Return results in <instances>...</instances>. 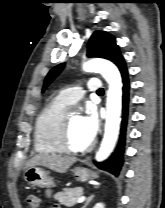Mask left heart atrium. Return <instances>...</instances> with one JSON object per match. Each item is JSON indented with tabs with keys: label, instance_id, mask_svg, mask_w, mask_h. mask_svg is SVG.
Instances as JSON below:
<instances>
[{
	"label": "left heart atrium",
	"instance_id": "39dd6f15",
	"mask_svg": "<svg viewBox=\"0 0 165 208\" xmlns=\"http://www.w3.org/2000/svg\"><path fill=\"white\" fill-rule=\"evenodd\" d=\"M81 119L83 131L88 140L92 141L99 129V119L96 110L93 107H88Z\"/></svg>",
	"mask_w": 165,
	"mask_h": 208
}]
</instances>
